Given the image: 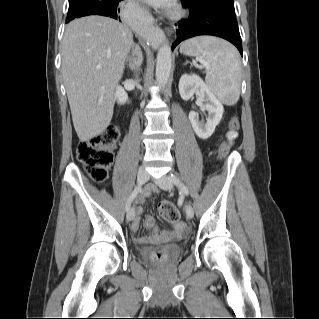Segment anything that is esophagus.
<instances>
[{
  "instance_id": "34e87169",
  "label": "esophagus",
  "mask_w": 319,
  "mask_h": 319,
  "mask_svg": "<svg viewBox=\"0 0 319 319\" xmlns=\"http://www.w3.org/2000/svg\"><path fill=\"white\" fill-rule=\"evenodd\" d=\"M153 33H154V38L150 41V43L152 46L155 47V46H158L165 39V34L158 25L154 27Z\"/></svg>"
}]
</instances>
